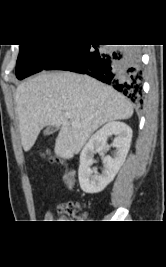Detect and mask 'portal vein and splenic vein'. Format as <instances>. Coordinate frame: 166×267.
Returning <instances> with one entry per match:
<instances>
[{
	"instance_id": "1",
	"label": "portal vein and splenic vein",
	"mask_w": 166,
	"mask_h": 267,
	"mask_svg": "<svg viewBox=\"0 0 166 267\" xmlns=\"http://www.w3.org/2000/svg\"><path fill=\"white\" fill-rule=\"evenodd\" d=\"M65 117L71 118V115L69 113H66ZM71 123H72L73 126H79L80 125L77 121H72Z\"/></svg>"
}]
</instances>
